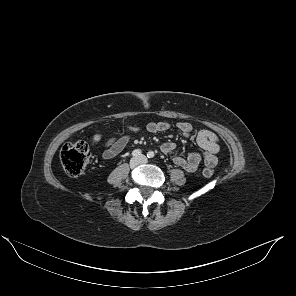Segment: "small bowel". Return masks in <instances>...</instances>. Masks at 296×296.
Segmentation results:
<instances>
[{
  "instance_id": "obj_1",
  "label": "small bowel",
  "mask_w": 296,
  "mask_h": 296,
  "mask_svg": "<svg viewBox=\"0 0 296 296\" xmlns=\"http://www.w3.org/2000/svg\"><path fill=\"white\" fill-rule=\"evenodd\" d=\"M176 127L186 137L193 133L192 125L187 121L178 122ZM169 129L170 124L167 122H151L147 125V130L151 133H162ZM128 131L137 132L139 127L129 126ZM129 141L128 133L109 138L103 145L102 157L104 159L116 157L125 149ZM196 141L203 151L202 154L193 152L184 158L178 154L177 145L174 142L163 143L161 151L164 154H172L174 163L188 172L196 171L202 160L206 166L214 167L217 163L216 155L220 149L218 137L209 130H200L196 135Z\"/></svg>"
}]
</instances>
